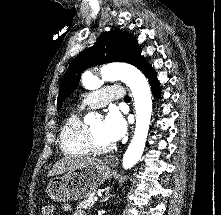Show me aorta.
Wrapping results in <instances>:
<instances>
[{
	"label": "aorta",
	"mask_w": 221,
	"mask_h": 215,
	"mask_svg": "<svg viewBox=\"0 0 221 215\" xmlns=\"http://www.w3.org/2000/svg\"><path fill=\"white\" fill-rule=\"evenodd\" d=\"M100 72L103 80H121L132 91L136 110V128L122 160L123 168L129 169L140 160L148 136L152 115V99L149 83L140 70L125 63L104 65ZM83 85L87 88H93V79L84 78ZM94 119L95 114L88 113L84 121L92 122Z\"/></svg>",
	"instance_id": "1"
}]
</instances>
